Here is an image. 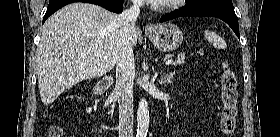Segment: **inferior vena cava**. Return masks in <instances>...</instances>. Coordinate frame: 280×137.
<instances>
[{"instance_id": "602c4592", "label": "inferior vena cava", "mask_w": 280, "mask_h": 137, "mask_svg": "<svg viewBox=\"0 0 280 137\" xmlns=\"http://www.w3.org/2000/svg\"><path fill=\"white\" fill-rule=\"evenodd\" d=\"M133 5L122 12V41L116 66L115 93L119 103V137H133V77L135 73L131 35L140 13L142 0H132Z\"/></svg>"}]
</instances>
